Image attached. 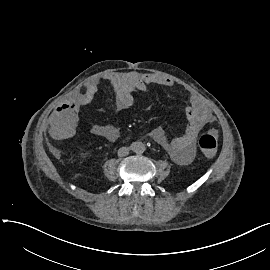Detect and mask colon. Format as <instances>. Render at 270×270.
<instances>
[{"instance_id":"1","label":"colon","mask_w":270,"mask_h":270,"mask_svg":"<svg viewBox=\"0 0 270 270\" xmlns=\"http://www.w3.org/2000/svg\"><path fill=\"white\" fill-rule=\"evenodd\" d=\"M198 147L202 154L211 156L216 153L218 148V139L214 132L202 134L198 139Z\"/></svg>"}]
</instances>
